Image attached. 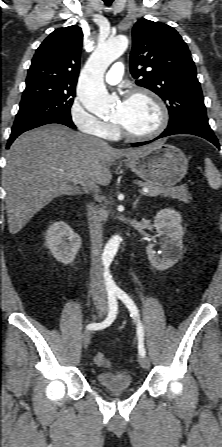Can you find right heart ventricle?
I'll use <instances>...</instances> for the list:
<instances>
[{"label":"right heart ventricle","instance_id":"e07e8e85","mask_svg":"<svg viewBox=\"0 0 222 447\" xmlns=\"http://www.w3.org/2000/svg\"><path fill=\"white\" fill-rule=\"evenodd\" d=\"M118 135L117 131L113 128L109 131V133L105 136L107 138H116Z\"/></svg>","mask_w":222,"mask_h":447}]
</instances>
